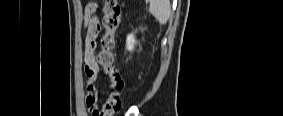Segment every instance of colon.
I'll list each match as a JSON object with an SVG mask.
<instances>
[{
	"label": "colon",
	"instance_id": "5ec220e1",
	"mask_svg": "<svg viewBox=\"0 0 283 116\" xmlns=\"http://www.w3.org/2000/svg\"><path fill=\"white\" fill-rule=\"evenodd\" d=\"M104 18L103 25L105 34L101 39V49L98 55V61L103 67L106 77L110 80V93L101 105V108H95L93 115L113 116L120 111L121 93L125 85L115 63L116 34L121 24V6L118 0H104Z\"/></svg>",
	"mask_w": 283,
	"mask_h": 116
}]
</instances>
